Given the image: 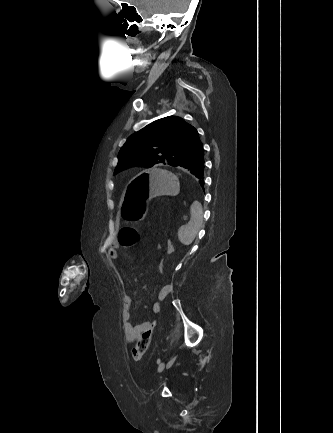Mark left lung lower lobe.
Segmentation results:
<instances>
[{
    "label": "left lung lower lobe",
    "instance_id": "0a47b994",
    "mask_svg": "<svg viewBox=\"0 0 333 433\" xmlns=\"http://www.w3.org/2000/svg\"><path fill=\"white\" fill-rule=\"evenodd\" d=\"M180 168L185 169L189 173L193 174L200 181L199 183L203 186L204 184V150L203 145L190 157L184 160L180 165Z\"/></svg>",
    "mask_w": 333,
    "mask_h": 433
}]
</instances>
